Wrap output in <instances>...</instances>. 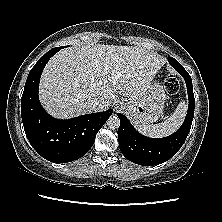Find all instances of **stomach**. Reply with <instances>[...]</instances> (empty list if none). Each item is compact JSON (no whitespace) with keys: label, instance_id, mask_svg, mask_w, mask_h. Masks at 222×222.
I'll return each mask as SVG.
<instances>
[{"label":"stomach","instance_id":"stomach-1","mask_svg":"<svg viewBox=\"0 0 222 222\" xmlns=\"http://www.w3.org/2000/svg\"><path fill=\"white\" fill-rule=\"evenodd\" d=\"M166 95L163 86L152 81L137 98L122 99L121 105L136 126L156 122L163 114Z\"/></svg>","mask_w":222,"mask_h":222}]
</instances>
